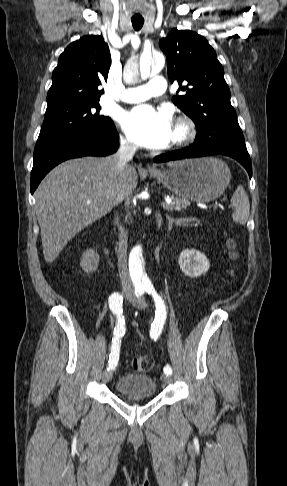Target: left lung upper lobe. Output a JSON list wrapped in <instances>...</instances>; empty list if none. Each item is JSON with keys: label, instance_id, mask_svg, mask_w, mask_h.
Returning <instances> with one entry per match:
<instances>
[{"label": "left lung upper lobe", "instance_id": "1", "mask_svg": "<svg viewBox=\"0 0 287 486\" xmlns=\"http://www.w3.org/2000/svg\"><path fill=\"white\" fill-rule=\"evenodd\" d=\"M159 45L167 57L170 82L178 80L177 93H184L172 101L197 127L194 145L247 150L223 67L207 40L193 31L173 29Z\"/></svg>", "mask_w": 287, "mask_h": 486}]
</instances>
